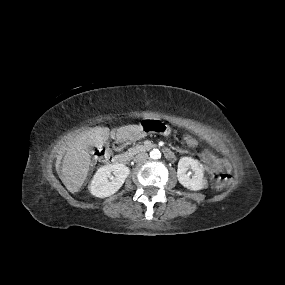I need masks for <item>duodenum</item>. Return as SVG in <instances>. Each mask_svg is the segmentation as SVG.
<instances>
[{
  "label": "duodenum",
  "mask_w": 285,
  "mask_h": 285,
  "mask_svg": "<svg viewBox=\"0 0 285 285\" xmlns=\"http://www.w3.org/2000/svg\"><path fill=\"white\" fill-rule=\"evenodd\" d=\"M125 144H126V140L115 141V147L117 149L121 148ZM163 153L167 159H173L174 158V152L170 149H164ZM132 156H133L132 153H120V154L115 156L114 160H115V162H117L119 164H127L131 160Z\"/></svg>",
  "instance_id": "1"
}]
</instances>
